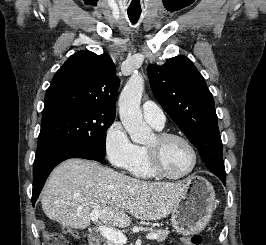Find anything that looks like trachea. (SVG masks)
<instances>
[{
	"label": "trachea",
	"instance_id": "3493384b",
	"mask_svg": "<svg viewBox=\"0 0 266 245\" xmlns=\"http://www.w3.org/2000/svg\"><path fill=\"white\" fill-rule=\"evenodd\" d=\"M128 17L132 23H136L140 17V13H135L131 11V12H128Z\"/></svg>",
	"mask_w": 266,
	"mask_h": 245
}]
</instances>
